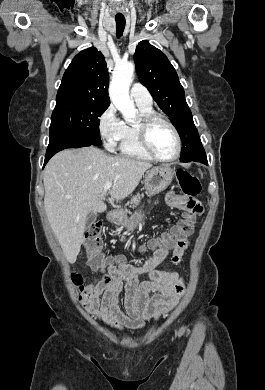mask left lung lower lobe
Masks as SVG:
<instances>
[{"instance_id":"obj_1","label":"left lung lower lobe","mask_w":265,"mask_h":390,"mask_svg":"<svg viewBox=\"0 0 265 390\" xmlns=\"http://www.w3.org/2000/svg\"><path fill=\"white\" fill-rule=\"evenodd\" d=\"M192 161H196V162H200V163H203V164H208L207 162V157H206V154H205V151H202L200 152L199 154H197L193 159Z\"/></svg>"}]
</instances>
